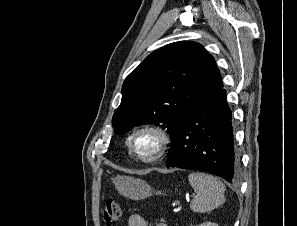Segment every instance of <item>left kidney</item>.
<instances>
[{
  "label": "left kidney",
  "mask_w": 297,
  "mask_h": 226,
  "mask_svg": "<svg viewBox=\"0 0 297 226\" xmlns=\"http://www.w3.org/2000/svg\"><path fill=\"white\" fill-rule=\"evenodd\" d=\"M196 226H218V224L212 223V222H207V223H203V224L196 225Z\"/></svg>",
  "instance_id": "obj_1"
}]
</instances>
